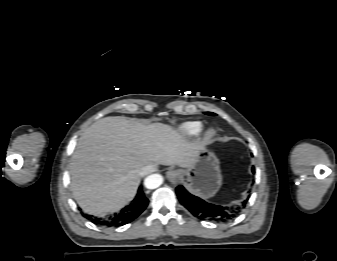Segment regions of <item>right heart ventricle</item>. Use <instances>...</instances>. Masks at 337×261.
Masks as SVG:
<instances>
[{
	"mask_svg": "<svg viewBox=\"0 0 337 261\" xmlns=\"http://www.w3.org/2000/svg\"><path fill=\"white\" fill-rule=\"evenodd\" d=\"M204 128L200 121H188L179 126V132L184 137H195L199 135Z\"/></svg>",
	"mask_w": 337,
	"mask_h": 261,
	"instance_id": "e07e8e85",
	"label": "right heart ventricle"
}]
</instances>
